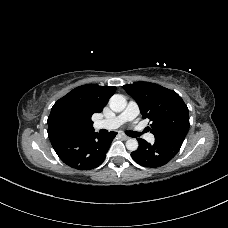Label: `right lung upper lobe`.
Listing matches in <instances>:
<instances>
[{"label":"right lung upper lobe","instance_id":"1","mask_svg":"<svg viewBox=\"0 0 228 228\" xmlns=\"http://www.w3.org/2000/svg\"><path fill=\"white\" fill-rule=\"evenodd\" d=\"M115 91L113 86L87 84L56 101L47 120L50 141L62 136L94 132L91 116L103 110Z\"/></svg>","mask_w":228,"mask_h":228}]
</instances>
